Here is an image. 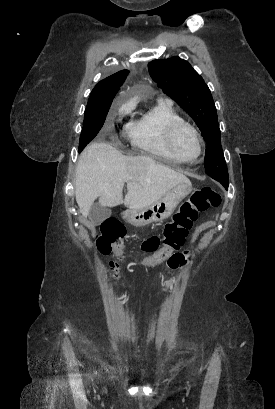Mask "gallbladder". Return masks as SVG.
Wrapping results in <instances>:
<instances>
[{"instance_id":"bac80fb5","label":"gallbladder","mask_w":275,"mask_h":409,"mask_svg":"<svg viewBox=\"0 0 275 409\" xmlns=\"http://www.w3.org/2000/svg\"><path fill=\"white\" fill-rule=\"evenodd\" d=\"M89 221L94 225V227H98L101 225L105 219H109L111 217L110 209H105V207H101L99 202H93V205L89 211Z\"/></svg>"}]
</instances>
